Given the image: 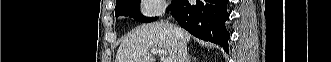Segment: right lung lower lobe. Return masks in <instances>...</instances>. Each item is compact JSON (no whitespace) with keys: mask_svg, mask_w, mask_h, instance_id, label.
<instances>
[{"mask_svg":"<svg viewBox=\"0 0 331 62\" xmlns=\"http://www.w3.org/2000/svg\"><path fill=\"white\" fill-rule=\"evenodd\" d=\"M229 0H177L171 14L181 27L199 39L219 44L228 51L229 32L225 28L228 20Z\"/></svg>","mask_w":331,"mask_h":62,"instance_id":"obj_1","label":"right lung lower lobe"}]
</instances>
